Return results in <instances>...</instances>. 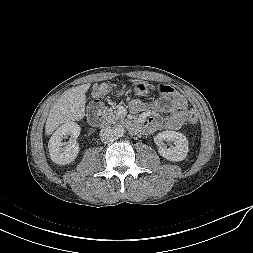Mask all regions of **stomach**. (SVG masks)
Wrapping results in <instances>:
<instances>
[{
  "label": "stomach",
  "instance_id": "stomach-1",
  "mask_svg": "<svg viewBox=\"0 0 253 253\" xmlns=\"http://www.w3.org/2000/svg\"><path fill=\"white\" fill-rule=\"evenodd\" d=\"M152 89V86L148 84L146 81H136L134 83V92L139 96H146Z\"/></svg>",
  "mask_w": 253,
  "mask_h": 253
}]
</instances>
